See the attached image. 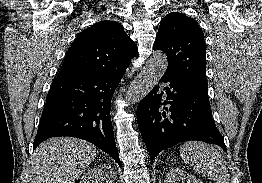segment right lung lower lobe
Here are the masks:
<instances>
[{
	"instance_id": "1",
	"label": "right lung lower lobe",
	"mask_w": 262,
	"mask_h": 183,
	"mask_svg": "<svg viewBox=\"0 0 262 183\" xmlns=\"http://www.w3.org/2000/svg\"><path fill=\"white\" fill-rule=\"evenodd\" d=\"M124 73L55 79L46 98L33 150L50 137L73 136L91 142L121 166L110 105Z\"/></svg>"
}]
</instances>
